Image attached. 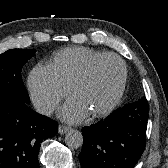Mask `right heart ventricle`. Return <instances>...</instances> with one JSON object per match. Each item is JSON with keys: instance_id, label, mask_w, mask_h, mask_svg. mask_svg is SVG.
Returning <instances> with one entry per match:
<instances>
[{"instance_id": "e07e8e85", "label": "right heart ventricle", "mask_w": 168, "mask_h": 168, "mask_svg": "<svg viewBox=\"0 0 168 168\" xmlns=\"http://www.w3.org/2000/svg\"><path fill=\"white\" fill-rule=\"evenodd\" d=\"M103 54V52L86 47L67 48L54 56L52 65L62 81L71 88L87 65Z\"/></svg>"}]
</instances>
